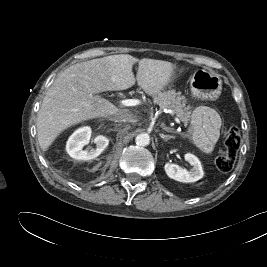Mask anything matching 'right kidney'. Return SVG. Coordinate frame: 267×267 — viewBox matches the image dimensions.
Masks as SVG:
<instances>
[{"label": "right kidney", "instance_id": "right-kidney-1", "mask_svg": "<svg viewBox=\"0 0 267 267\" xmlns=\"http://www.w3.org/2000/svg\"><path fill=\"white\" fill-rule=\"evenodd\" d=\"M91 133V128L86 126L75 130L71 134L66 143V151L70 157L77 160L88 161L96 158L103 152V150L109 144V140L103 135H98L95 137V148L83 150V147L90 141Z\"/></svg>", "mask_w": 267, "mask_h": 267}]
</instances>
